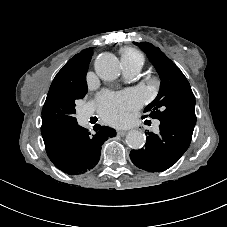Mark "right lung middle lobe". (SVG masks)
<instances>
[{"mask_svg": "<svg viewBox=\"0 0 227 227\" xmlns=\"http://www.w3.org/2000/svg\"><path fill=\"white\" fill-rule=\"evenodd\" d=\"M86 93L87 86L82 88L62 86L49 89L42 109L41 133L43 139L56 132L68 130L77 124L74 117L75 103L78 99L84 98Z\"/></svg>", "mask_w": 227, "mask_h": 227, "instance_id": "1", "label": "right lung middle lobe"}]
</instances>
